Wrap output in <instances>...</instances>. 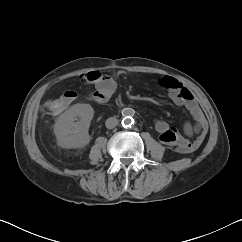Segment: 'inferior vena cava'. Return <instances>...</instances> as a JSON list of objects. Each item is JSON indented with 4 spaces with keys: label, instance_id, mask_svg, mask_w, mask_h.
<instances>
[{
    "label": "inferior vena cava",
    "instance_id": "inferior-vena-cava-1",
    "mask_svg": "<svg viewBox=\"0 0 242 242\" xmlns=\"http://www.w3.org/2000/svg\"><path fill=\"white\" fill-rule=\"evenodd\" d=\"M105 125L108 129H113L118 125V120L115 117H110L106 120Z\"/></svg>",
    "mask_w": 242,
    "mask_h": 242
}]
</instances>
